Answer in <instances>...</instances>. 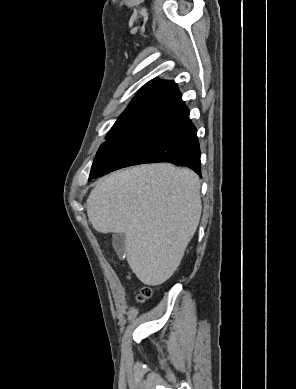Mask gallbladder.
<instances>
[{
    "label": "gallbladder",
    "mask_w": 296,
    "mask_h": 389,
    "mask_svg": "<svg viewBox=\"0 0 296 389\" xmlns=\"http://www.w3.org/2000/svg\"><path fill=\"white\" fill-rule=\"evenodd\" d=\"M113 247L120 258L126 253V236L124 233H116L112 237Z\"/></svg>",
    "instance_id": "1"
}]
</instances>
